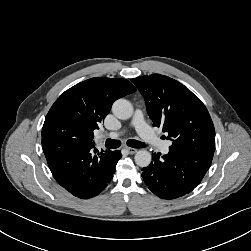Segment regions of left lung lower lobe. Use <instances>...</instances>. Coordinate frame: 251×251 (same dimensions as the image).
Returning <instances> with one entry per match:
<instances>
[{
    "mask_svg": "<svg viewBox=\"0 0 251 251\" xmlns=\"http://www.w3.org/2000/svg\"><path fill=\"white\" fill-rule=\"evenodd\" d=\"M214 152L173 150L143 168L142 177L149 189L163 199H175L191 192L209 169Z\"/></svg>",
    "mask_w": 251,
    "mask_h": 251,
    "instance_id": "1",
    "label": "left lung lower lobe"
}]
</instances>
